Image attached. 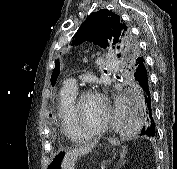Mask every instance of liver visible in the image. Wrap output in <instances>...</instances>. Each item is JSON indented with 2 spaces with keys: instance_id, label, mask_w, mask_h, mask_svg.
I'll return each instance as SVG.
<instances>
[{
  "instance_id": "obj_1",
  "label": "liver",
  "mask_w": 177,
  "mask_h": 169,
  "mask_svg": "<svg viewBox=\"0 0 177 169\" xmlns=\"http://www.w3.org/2000/svg\"><path fill=\"white\" fill-rule=\"evenodd\" d=\"M95 145L96 143H91L83 147L67 151L62 160V169H74L75 162L78 157L89 153L95 147Z\"/></svg>"
}]
</instances>
